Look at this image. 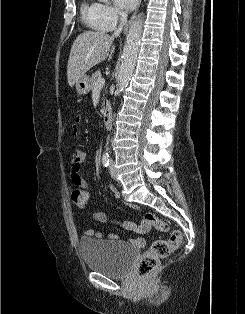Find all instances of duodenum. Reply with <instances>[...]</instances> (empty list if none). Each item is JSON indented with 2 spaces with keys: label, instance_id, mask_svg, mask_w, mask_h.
Here are the masks:
<instances>
[{
  "label": "duodenum",
  "instance_id": "duodenum-1",
  "mask_svg": "<svg viewBox=\"0 0 245 314\" xmlns=\"http://www.w3.org/2000/svg\"><path fill=\"white\" fill-rule=\"evenodd\" d=\"M113 120V111L109 102L105 103L104 115H103V125L106 129H111Z\"/></svg>",
  "mask_w": 245,
  "mask_h": 314
}]
</instances>
